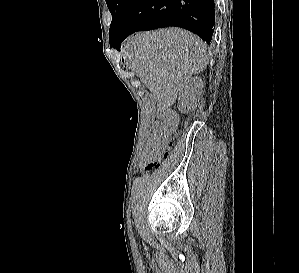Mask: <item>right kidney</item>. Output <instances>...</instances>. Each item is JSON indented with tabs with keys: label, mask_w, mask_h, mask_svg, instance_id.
<instances>
[{
	"label": "right kidney",
	"mask_w": 299,
	"mask_h": 273,
	"mask_svg": "<svg viewBox=\"0 0 299 273\" xmlns=\"http://www.w3.org/2000/svg\"><path fill=\"white\" fill-rule=\"evenodd\" d=\"M203 85V81L199 77H191L182 84L178 97L181 111L188 112L196 107L200 100Z\"/></svg>",
	"instance_id": "ca27d5eb"
}]
</instances>
